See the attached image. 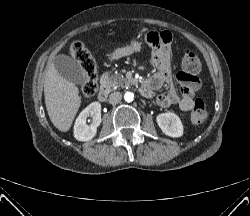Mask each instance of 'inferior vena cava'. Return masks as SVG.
Segmentation results:
<instances>
[{
    "label": "inferior vena cava",
    "instance_id": "1",
    "mask_svg": "<svg viewBox=\"0 0 250 216\" xmlns=\"http://www.w3.org/2000/svg\"><path fill=\"white\" fill-rule=\"evenodd\" d=\"M122 99V94L120 92H113L109 96V103L115 105L119 103Z\"/></svg>",
    "mask_w": 250,
    "mask_h": 216
}]
</instances>
